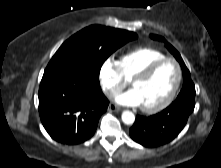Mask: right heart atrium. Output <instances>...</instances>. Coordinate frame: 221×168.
Instances as JSON below:
<instances>
[{
  "label": "right heart atrium",
  "instance_id": "right-heart-atrium-1",
  "mask_svg": "<svg viewBox=\"0 0 221 168\" xmlns=\"http://www.w3.org/2000/svg\"><path fill=\"white\" fill-rule=\"evenodd\" d=\"M99 83L103 92L108 96L119 93L127 84L119 61L113 57H107L99 68Z\"/></svg>",
  "mask_w": 221,
  "mask_h": 168
}]
</instances>
